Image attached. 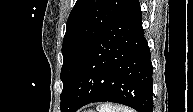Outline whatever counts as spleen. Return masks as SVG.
Returning <instances> with one entry per match:
<instances>
[{
  "label": "spleen",
  "instance_id": "3e777b00",
  "mask_svg": "<svg viewBox=\"0 0 193 112\" xmlns=\"http://www.w3.org/2000/svg\"><path fill=\"white\" fill-rule=\"evenodd\" d=\"M98 112H134V111L128 107L105 103L100 105Z\"/></svg>",
  "mask_w": 193,
  "mask_h": 112
}]
</instances>
